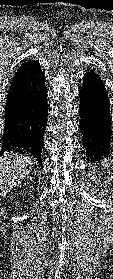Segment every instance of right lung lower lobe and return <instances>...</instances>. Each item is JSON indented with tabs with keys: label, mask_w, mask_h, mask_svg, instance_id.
<instances>
[{
	"label": "right lung lower lobe",
	"mask_w": 113,
	"mask_h": 279,
	"mask_svg": "<svg viewBox=\"0 0 113 279\" xmlns=\"http://www.w3.org/2000/svg\"><path fill=\"white\" fill-rule=\"evenodd\" d=\"M47 115L45 76L38 62L25 77L10 86L0 153H27L42 165L41 152Z\"/></svg>",
	"instance_id": "obj_1"
}]
</instances>
